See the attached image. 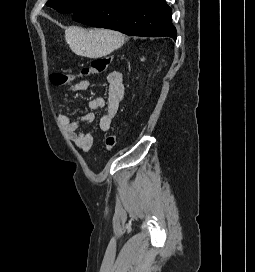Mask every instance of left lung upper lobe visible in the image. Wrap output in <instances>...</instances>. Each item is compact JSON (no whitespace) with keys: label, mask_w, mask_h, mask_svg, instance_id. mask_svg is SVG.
I'll list each match as a JSON object with an SVG mask.
<instances>
[{"label":"left lung upper lobe","mask_w":255,"mask_h":272,"mask_svg":"<svg viewBox=\"0 0 255 272\" xmlns=\"http://www.w3.org/2000/svg\"><path fill=\"white\" fill-rule=\"evenodd\" d=\"M91 0H48L46 5L60 13H74Z\"/></svg>","instance_id":"1"}]
</instances>
